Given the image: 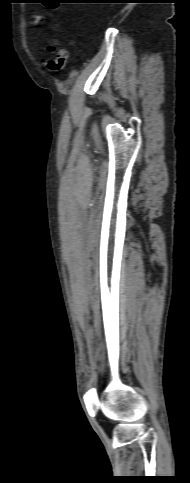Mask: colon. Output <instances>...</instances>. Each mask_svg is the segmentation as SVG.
<instances>
[{"instance_id":"1","label":"colon","mask_w":190,"mask_h":483,"mask_svg":"<svg viewBox=\"0 0 190 483\" xmlns=\"http://www.w3.org/2000/svg\"><path fill=\"white\" fill-rule=\"evenodd\" d=\"M52 57L47 63V67L52 72H60L66 68L68 61V51L58 42H54L49 46Z\"/></svg>"}]
</instances>
